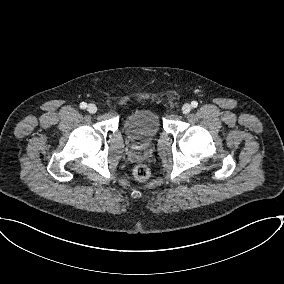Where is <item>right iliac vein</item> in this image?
<instances>
[{"mask_svg": "<svg viewBox=\"0 0 284 284\" xmlns=\"http://www.w3.org/2000/svg\"><path fill=\"white\" fill-rule=\"evenodd\" d=\"M87 111L91 114H94L97 112V106L91 103L87 106Z\"/></svg>", "mask_w": 284, "mask_h": 284, "instance_id": "63e3f726", "label": "right iliac vein"}]
</instances>
